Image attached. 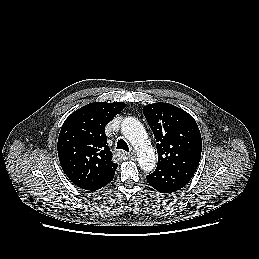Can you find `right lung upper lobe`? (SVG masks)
<instances>
[{
  "label": "right lung upper lobe",
  "mask_w": 259,
  "mask_h": 259,
  "mask_svg": "<svg viewBox=\"0 0 259 259\" xmlns=\"http://www.w3.org/2000/svg\"><path fill=\"white\" fill-rule=\"evenodd\" d=\"M126 106L123 102H94L65 120L58 138L63 171L76 186L89 188L115 173L105 126Z\"/></svg>",
  "instance_id": "1"
}]
</instances>
